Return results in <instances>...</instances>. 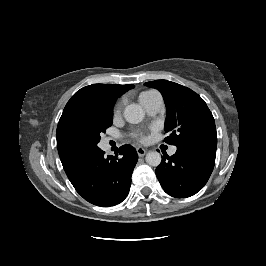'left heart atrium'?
Wrapping results in <instances>:
<instances>
[{
	"label": "left heart atrium",
	"instance_id": "left-heart-atrium-1",
	"mask_svg": "<svg viewBox=\"0 0 266 266\" xmlns=\"http://www.w3.org/2000/svg\"><path fill=\"white\" fill-rule=\"evenodd\" d=\"M135 137H136L137 139H139L140 141H144V140H145V136H144L141 132H137V133L135 134Z\"/></svg>",
	"mask_w": 266,
	"mask_h": 266
}]
</instances>
